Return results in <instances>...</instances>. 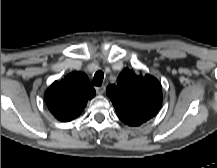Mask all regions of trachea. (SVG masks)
<instances>
[{
  "label": "trachea",
  "mask_w": 217,
  "mask_h": 168,
  "mask_svg": "<svg viewBox=\"0 0 217 168\" xmlns=\"http://www.w3.org/2000/svg\"><path fill=\"white\" fill-rule=\"evenodd\" d=\"M104 78V73L102 71H97L93 78V84L95 86H101Z\"/></svg>",
  "instance_id": "trachea-1"
}]
</instances>
